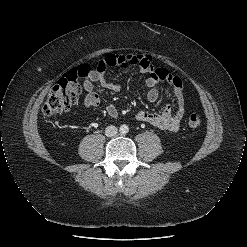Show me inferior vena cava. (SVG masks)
Segmentation results:
<instances>
[{"label": "inferior vena cava", "instance_id": "1", "mask_svg": "<svg viewBox=\"0 0 247 247\" xmlns=\"http://www.w3.org/2000/svg\"><path fill=\"white\" fill-rule=\"evenodd\" d=\"M117 127L110 125L105 129V135L107 137H114L117 134Z\"/></svg>", "mask_w": 247, "mask_h": 247}]
</instances>
